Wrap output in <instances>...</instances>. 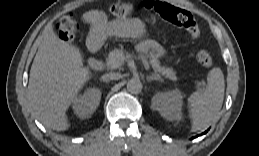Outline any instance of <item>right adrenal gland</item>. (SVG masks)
Wrapping results in <instances>:
<instances>
[{
    "mask_svg": "<svg viewBox=\"0 0 259 156\" xmlns=\"http://www.w3.org/2000/svg\"><path fill=\"white\" fill-rule=\"evenodd\" d=\"M100 81L107 82L106 80L101 79Z\"/></svg>",
    "mask_w": 259,
    "mask_h": 156,
    "instance_id": "2a0ac1e0",
    "label": "right adrenal gland"
}]
</instances>
